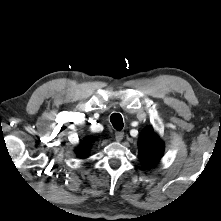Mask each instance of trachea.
<instances>
[{"label":"trachea","mask_w":221,"mask_h":221,"mask_svg":"<svg viewBox=\"0 0 221 221\" xmlns=\"http://www.w3.org/2000/svg\"><path fill=\"white\" fill-rule=\"evenodd\" d=\"M110 121H111L113 127H114L117 131H120V130L123 129L124 124H123L122 116H121L120 114L113 113V114L110 116Z\"/></svg>","instance_id":"trachea-1"}]
</instances>
